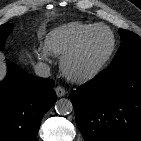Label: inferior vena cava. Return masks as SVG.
I'll list each match as a JSON object with an SVG mask.
<instances>
[{"instance_id": "1", "label": "inferior vena cava", "mask_w": 141, "mask_h": 141, "mask_svg": "<svg viewBox=\"0 0 141 141\" xmlns=\"http://www.w3.org/2000/svg\"><path fill=\"white\" fill-rule=\"evenodd\" d=\"M35 73L39 77H49L50 76V67L48 64L43 62H38L34 67Z\"/></svg>"}]
</instances>
